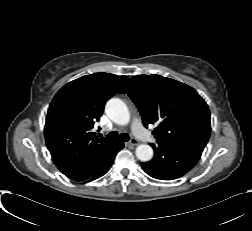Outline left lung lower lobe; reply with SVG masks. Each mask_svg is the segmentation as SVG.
<instances>
[{
	"label": "left lung lower lobe",
	"mask_w": 252,
	"mask_h": 231,
	"mask_svg": "<svg viewBox=\"0 0 252 231\" xmlns=\"http://www.w3.org/2000/svg\"><path fill=\"white\" fill-rule=\"evenodd\" d=\"M154 157L142 163L144 171L153 178L172 180L183 176L199 160L204 148L189 143L157 142L151 144Z\"/></svg>",
	"instance_id": "left-lung-lower-lobe-1"
}]
</instances>
